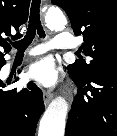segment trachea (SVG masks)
Returning a JSON list of instances; mask_svg holds the SVG:
<instances>
[{"label": "trachea", "mask_w": 117, "mask_h": 136, "mask_svg": "<svg viewBox=\"0 0 117 136\" xmlns=\"http://www.w3.org/2000/svg\"><path fill=\"white\" fill-rule=\"evenodd\" d=\"M40 4L41 0H32L26 35L20 41L11 42V45L18 51H24L31 44L35 37L36 31L40 37H45V32L40 21Z\"/></svg>", "instance_id": "3493384b"}]
</instances>
